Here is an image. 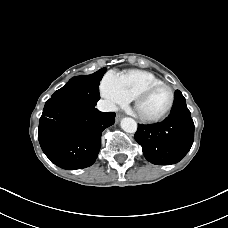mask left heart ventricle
<instances>
[{"label":"left heart ventricle","instance_id":"1","mask_svg":"<svg viewBox=\"0 0 228 228\" xmlns=\"http://www.w3.org/2000/svg\"><path fill=\"white\" fill-rule=\"evenodd\" d=\"M170 92L165 87H159L150 92L138 104V112L147 117L160 115L170 103Z\"/></svg>","mask_w":228,"mask_h":228}]
</instances>
